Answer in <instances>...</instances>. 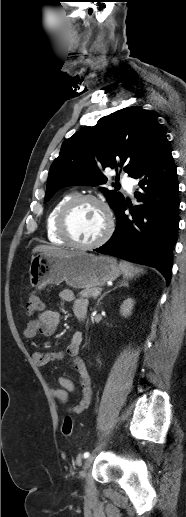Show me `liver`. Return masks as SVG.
Instances as JSON below:
<instances>
[{
  "label": "liver",
  "instance_id": "obj_1",
  "mask_svg": "<svg viewBox=\"0 0 186 517\" xmlns=\"http://www.w3.org/2000/svg\"><path fill=\"white\" fill-rule=\"evenodd\" d=\"M37 252H41L42 254H45V255H53V256H59V257H68V256H71L76 253V252L68 251V250H65V249H62L59 247L47 246V245L36 246L33 249V253H37Z\"/></svg>",
  "mask_w": 186,
  "mask_h": 517
}]
</instances>
